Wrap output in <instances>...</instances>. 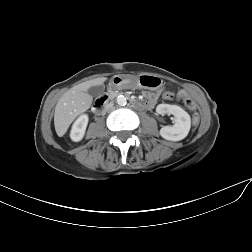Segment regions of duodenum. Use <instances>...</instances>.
Segmentation results:
<instances>
[{
    "mask_svg": "<svg viewBox=\"0 0 252 252\" xmlns=\"http://www.w3.org/2000/svg\"><path fill=\"white\" fill-rule=\"evenodd\" d=\"M114 84H111L110 85V88L111 89H114ZM113 93L112 94H107V95H104V96H101L99 97L95 104H94V112L95 113H100L103 111V109L106 107V105L108 104L109 100L113 97ZM130 104L134 107V108H137V109H144L146 108L145 107V103H142V102H138L134 99H131L130 100Z\"/></svg>",
    "mask_w": 252,
    "mask_h": 252,
    "instance_id": "duodenum-1",
    "label": "duodenum"
}]
</instances>
